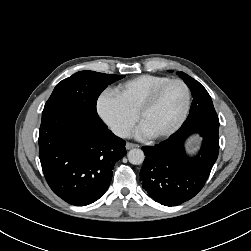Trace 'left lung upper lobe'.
<instances>
[{
	"label": "left lung upper lobe",
	"mask_w": 251,
	"mask_h": 251,
	"mask_svg": "<svg viewBox=\"0 0 251 251\" xmlns=\"http://www.w3.org/2000/svg\"><path fill=\"white\" fill-rule=\"evenodd\" d=\"M177 74L190 88L193 97L189 115L183 125L198 120L219 121L211 97L206 89L186 73L177 72Z\"/></svg>",
	"instance_id": "1"
}]
</instances>
